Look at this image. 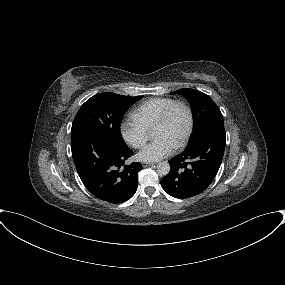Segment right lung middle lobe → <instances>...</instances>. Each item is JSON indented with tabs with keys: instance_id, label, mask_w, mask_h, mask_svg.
I'll return each mask as SVG.
<instances>
[{
	"instance_id": "right-lung-middle-lobe-1",
	"label": "right lung middle lobe",
	"mask_w": 285,
	"mask_h": 285,
	"mask_svg": "<svg viewBox=\"0 0 285 285\" xmlns=\"http://www.w3.org/2000/svg\"><path fill=\"white\" fill-rule=\"evenodd\" d=\"M141 98L110 92L91 97L77 112L71 136L85 132L99 136L119 148L127 147L120 132L121 120L130 106Z\"/></svg>"
}]
</instances>
